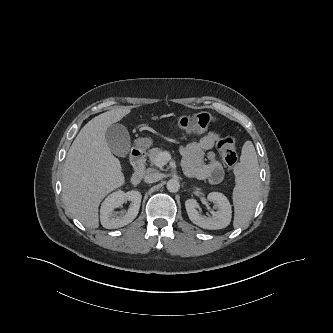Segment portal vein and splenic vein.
<instances>
[{
  "mask_svg": "<svg viewBox=\"0 0 333 333\" xmlns=\"http://www.w3.org/2000/svg\"><path fill=\"white\" fill-rule=\"evenodd\" d=\"M170 159H171V155L169 154V152L164 151L157 157L156 166L162 167V166L166 165Z\"/></svg>",
  "mask_w": 333,
  "mask_h": 333,
  "instance_id": "18ae733b",
  "label": "portal vein and splenic vein"
}]
</instances>
